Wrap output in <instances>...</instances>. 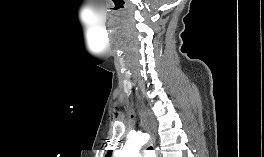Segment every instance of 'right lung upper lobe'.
Listing matches in <instances>:
<instances>
[{
    "mask_svg": "<svg viewBox=\"0 0 264 157\" xmlns=\"http://www.w3.org/2000/svg\"><path fill=\"white\" fill-rule=\"evenodd\" d=\"M111 151H108V154L106 155V157H110Z\"/></svg>",
    "mask_w": 264,
    "mask_h": 157,
    "instance_id": "obj_1",
    "label": "right lung upper lobe"
}]
</instances>
